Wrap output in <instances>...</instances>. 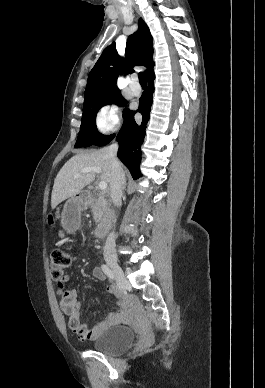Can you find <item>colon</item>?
<instances>
[{
    "instance_id": "1",
    "label": "colon",
    "mask_w": 265,
    "mask_h": 388,
    "mask_svg": "<svg viewBox=\"0 0 265 388\" xmlns=\"http://www.w3.org/2000/svg\"><path fill=\"white\" fill-rule=\"evenodd\" d=\"M74 256L72 253L55 249L50 257V272L51 277L55 281L58 291L62 294L66 293V271L72 265Z\"/></svg>"
}]
</instances>
